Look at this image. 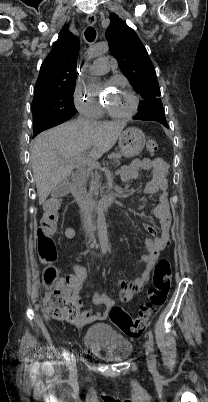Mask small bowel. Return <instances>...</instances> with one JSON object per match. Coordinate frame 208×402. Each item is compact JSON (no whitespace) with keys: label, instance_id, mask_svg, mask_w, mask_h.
Returning <instances> with one entry per match:
<instances>
[{"label":"small bowel","instance_id":"1","mask_svg":"<svg viewBox=\"0 0 208 402\" xmlns=\"http://www.w3.org/2000/svg\"><path fill=\"white\" fill-rule=\"evenodd\" d=\"M140 170L152 171L151 180L145 185L143 193L145 195L159 194L158 204L151 210L153 216L160 222V234L154 240L146 242L147 254L141 257L140 263L145 265L141 275L131 281L121 280L118 282L120 289V300L128 301L134 292L141 289L142 285L149 280L150 271L157 259L158 254L168 247L171 243V215L169 210L168 198V165L164 159L157 157L154 159L145 157L142 159L133 160L130 164L122 167L121 180L125 183H133L139 178ZM144 227L151 233L156 234L157 230L150 224L144 223ZM73 230L66 231L67 237L73 236ZM72 274L67 276L64 280H72V293L76 295L78 290L86 278L85 269L76 263L71 264ZM72 300L77 301V296L72 297ZM94 302L101 304L105 311L96 313L93 316H83L77 318L76 316L64 315L63 318L58 316L56 321L60 324L62 330H81L83 322L93 320L95 324H103L107 316V311L114 305V301L104 294H95Z\"/></svg>","mask_w":208,"mask_h":402}]
</instances>
